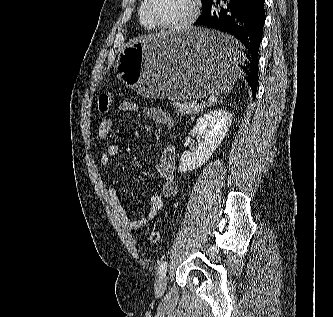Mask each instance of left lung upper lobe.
Instances as JSON below:
<instances>
[{"label":"left lung upper lobe","mask_w":333,"mask_h":317,"mask_svg":"<svg viewBox=\"0 0 333 317\" xmlns=\"http://www.w3.org/2000/svg\"><path fill=\"white\" fill-rule=\"evenodd\" d=\"M211 0H201L202 2V10H205V8L207 7L208 3L210 2Z\"/></svg>","instance_id":"5c2ea615"}]
</instances>
